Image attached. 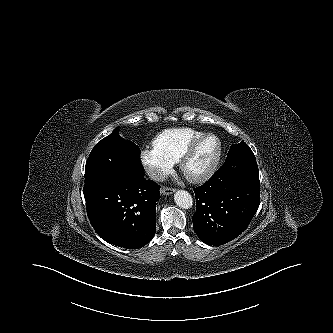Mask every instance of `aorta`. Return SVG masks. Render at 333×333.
Segmentation results:
<instances>
[{"mask_svg":"<svg viewBox=\"0 0 333 333\" xmlns=\"http://www.w3.org/2000/svg\"><path fill=\"white\" fill-rule=\"evenodd\" d=\"M174 201L182 209H189L193 205V199L190 193L185 190H178L174 194Z\"/></svg>","mask_w":333,"mask_h":333,"instance_id":"obj_1","label":"aorta"}]
</instances>
